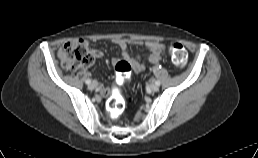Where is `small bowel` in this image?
Segmentation results:
<instances>
[{"instance_id":"small-bowel-1","label":"small bowel","mask_w":258,"mask_h":158,"mask_svg":"<svg viewBox=\"0 0 258 158\" xmlns=\"http://www.w3.org/2000/svg\"><path fill=\"white\" fill-rule=\"evenodd\" d=\"M113 43L121 50L122 59L126 60L132 68L134 73H140L146 67L145 62L140 60V57L132 58L128 54V47L130 44L143 45L149 52V62L152 64L159 63L165 55V46L159 41L149 40L146 42H141L138 40H128L125 38H117L113 40ZM92 52L97 58H101L103 53L99 49H93ZM118 62L114 60V63ZM98 91L101 96H108L111 92L109 89L105 88L101 83H97Z\"/></svg>"}]
</instances>
